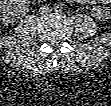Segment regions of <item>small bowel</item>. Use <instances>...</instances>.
<instances>
[{
	"label": "small bowel",
	"mask_w": 111,
	"mask_h": 106,
	"mask_svg": "<svg viewBox=\"0 0 111 106\" xmlns=\"http://www.w3.org/2000/svg\"><path fill=\"white\" fill-rule=\"evenodd\" d=\"M83 2H93L94 3L95 1H83Z\"/></svg>",
	"instance_id": "c3829d8e"
}]
</instances>
